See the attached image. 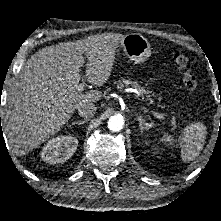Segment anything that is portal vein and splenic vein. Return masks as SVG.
<instances>
[{
  "mask_svg": "<svg viewBox=\"0 0 221 221\" xmlns=\"http://www.w3.org/2000/svg\"><path fill=\"white\" fill-rule=\"evenodd\" d=\"M84 86H85L84 83H80V84L77 86L78 92H82L83 89H84ZM152 112H153V114H154V116H155L156 118L165 119V116H164L163 114L157 113V112H154V111H152Z\"/></svg>",
  "mask_w": 221,
  "mask_h": 221,
  "instance_id": "1",
  "label": "portal vein and splenic vein"
}]
</instances>
